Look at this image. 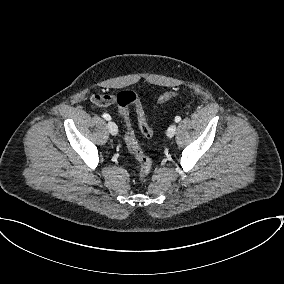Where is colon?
<instances>
[{
    "mask_svg": "<svg viewBox=\"0 0 284 284\" xmlns=\"http://www.w3.org/2000/svg\"><path fill=\"white\" fill-rule=\"evenodd\" d=\"M177 92L169 91L162 94L159 98V103L164 104L168 102L173 97L177 96ZM117 105L119 108L120 116L124 122L125 126V142L129 152L134 156V158L139 163V177L145 178L151 171L152 161L151 159L144 153L140 145L138 144L135 136L132 125L129 119V106L135 105L138 125L142 132V134L151 138L154 135L153 129L149 126L145 114V110L139 100L137 93L133 90H125L120 92L117 95Z\"/></svg>",
    "mask_w": 284,
    "mask_h": 284,
    "instance_id": "5ec220e1",
    "label": "colon"
}]
</instances>
